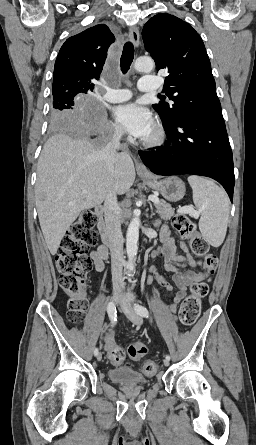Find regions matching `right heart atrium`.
<instances>
[{"label":"right heart atrium","mask_w":256,"mask_h":445,"mask_svg":"<svg viewBox=\"0 0 256 445\" xmlns=\"http://www.w3.org/2000/svg\"><path fill=\"white\" fill-rule=\"evenodd\" d=\"M111 133H112V136H113V137L118 138V137H121V135H122V130L119 128L118 125H116V124H112V125H111Z\"/></svg>","instance_id":"1"}]
</instances>
